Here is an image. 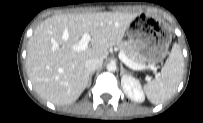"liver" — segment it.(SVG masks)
Segmentation results:
<instances>
[{"label":"liver","instance_id":"6515ba94","mask_svg":"<svg viewBox=\"0 0 203 123\" xmlns=\"http://www.w3.org/2000/svg\"><path fill=\"white\" fill-rule=\"evenodd\" d=\"M139 13L62 14L45 19L28 41L27 74L37 94L55 105L75 102L89 82L85 61L107 58ZM84 33L90 47L76 51Z\"/></svg>","mask_w":203,"mask_h":123}]
</instances>
